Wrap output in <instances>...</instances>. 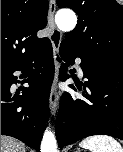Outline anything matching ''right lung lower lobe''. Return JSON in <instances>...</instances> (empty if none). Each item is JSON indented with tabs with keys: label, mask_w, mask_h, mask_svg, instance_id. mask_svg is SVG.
<instances>
[{
	"label": "right lung lower lobe",
	"mask_w": 123,
	"mask_h": 152,
	"mask_svg": "<svg viewBox=\"0 0 123 152\" xmlns=\"http://www.w3.org/2000/svg\"><path fill=\"white\" fill-rule=\"evenodd\" d=\"M34 63L32 64V62ZM34 66V70H33ZM30 72L29 87L11 93L15 71ZM54 77L52 46L48 40L32 57L17 65H1V135L15 137L40 151L49 116V94Z\"/></svg>",
	"instance_id": "98d812e1"
}]
</instances>
